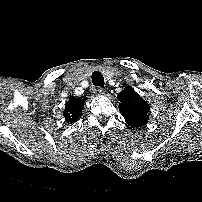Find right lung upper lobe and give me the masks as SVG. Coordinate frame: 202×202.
Returning <instances> with one entry per match:
<instances>
[{"instance_id":"obj_1","label":"right lung upper lobe","mask_w":202,"mask_h":202,"mask_svg":"<svg viewBox=\"0 0 202 202\" xmlns=\"http://www.w3.org/2000/svg\"><path fill=\"white\" fill-rule=\"evenodd\" d=\"M84 101V98H70L69 101L66 102L64 117L68 123L71 124L79 119L84 107Z\"/></svg>"}]
</instances>
